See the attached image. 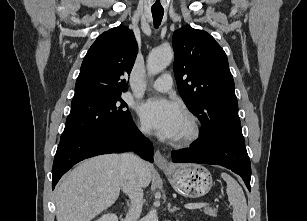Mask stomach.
<instances>
[{
    "label": "stomach",
    "instance_id": "1",
    "mask_svg": "<svg viewBox=\"0 0 307 221\" xmlns=\"http://www.w3.org/2000/svg\"><path fill=\"white\" fill-rule=\"evenodd\" d=\"M173 188L186 197H201L213 185L210 172L199 164H178L171 169H163Z\"/></svg>",
    "mask_w": 307,
    "mask_h": 221
}]
</instances>
